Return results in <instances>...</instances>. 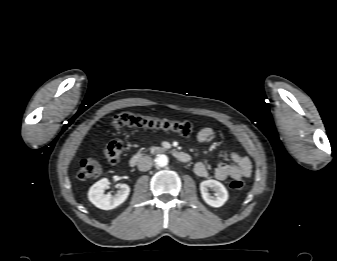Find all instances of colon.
Returning a JSON list of instances; mask_svg holds the SVG:
<instances>
[{
  "instance_id": "1",
  "label": "colon",
  "mask_w": 337,
  "mask_h": 261,
  "mask_svg": "<svg viewBox=\"0 0 337 261\" xmlns=\"http://www.w3.org/2000/svg\"><path fill=\"white\" fill-rule=\"evenodd\" d=\"M111 125L115 129L122 127L158 129L186 137L191 136L195 131L193 124L187 121H172L131 113H121L114 116ZM122 153L123 144L118 140L109 142L103 150L106 160L111 164L118 163L122 157ZM102 172V166L96 159L85 158L80 162L78 177L81 180H89L100 176ZM229 186L233 190H242L245 187V182L242 179H234L230 182Z\"/></svg>"
}]
</instances>
